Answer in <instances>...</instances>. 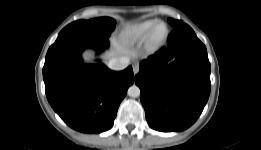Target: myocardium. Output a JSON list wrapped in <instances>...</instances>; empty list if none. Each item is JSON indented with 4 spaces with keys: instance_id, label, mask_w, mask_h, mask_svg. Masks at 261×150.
I'll return each instance as SVG.
<instances>
[{
    "instance_id": "obj_1",
    "label": "myocardium",
    "mask_w": 261,
    "mask_h": 150,
    "mask_svg": "<svg viewBox=\"0 0 261 150\" xmlns=\"http://www.w3.org/2000/svg\"><path fill=\"white\" fill-rule=\"evenodd\" d=\"M160 26H164L165 33L159 37V36H157L156 32ZM168 35H169V28H168L167 24L164 22H157L152 27L151 31L149 32V34L147 36V42L150 46H159L166 41Z\"/></svg>"
}]
</instances>
